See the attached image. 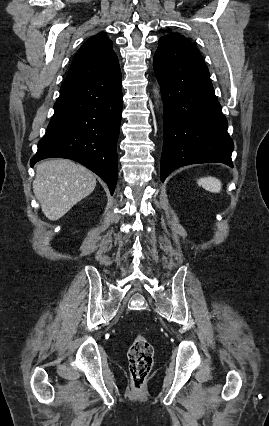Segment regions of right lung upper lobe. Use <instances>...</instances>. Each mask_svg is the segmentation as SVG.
I'll return each mask as SVG.
<instances>
[{
  "label": "right lung upper lobe",
  "instance_id": "cb5924a9",
  "mask_svg": "<svg viewBox=\"0 0 269 426\" xmlns=\"http://www.w3.org/2000/svg\"><path fill=\"white\" fill-rule=\"evenodd\" d=\"M119 69L113 43L104 32L90 37L77 51L64 83L93 79Z\"/></svg>",
  "mask_w": 269,
  "mask_h": 426
}]
</instances>
